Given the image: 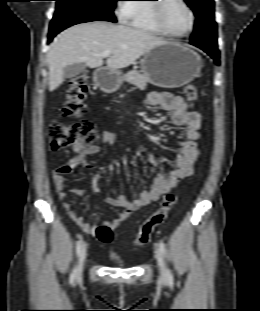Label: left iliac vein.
Listing matches in <instances>:
<instances>
[{
	"instance_id": "obj_1",
	"label": "left iliac vein",
	"mask_w": 260,
	"mask_h": 311,
	"mask_svg": "<svg viewBox=\"0 0 260 311\" xmlns=\"http://www.w3.org/2000/svg\"><path fill=\"white\" fill-rule=\"evenodd\" d=\"M156 259H157V263H158V266H159V270H160V273L163 277H166V268H165V262H164V258H163V255L162 253L160 252V250H156Z\"/></svg>"
}]
</instances>
